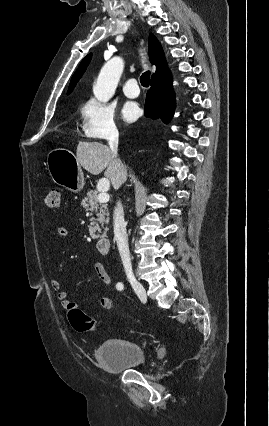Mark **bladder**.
Here are the masks:
<instances>
[{"label":"bladder","mask_w":269,"mask_h":426,"mask_svg":"<svg viewBox=\"0 0 269 426\" xmlns=\"http://www.w3.org/2000/svg\"><path fill=\"white\" fill-rule=\"evenodd\" d=\"M95 358L109 372L129 371L146 363L144 348L136 342L121 338L101 342L96 348Z\"/></svg>","instance_id":"1"}]
</instances>
